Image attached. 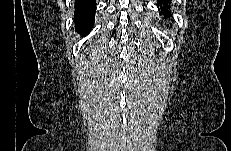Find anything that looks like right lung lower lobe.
Segmentation results:
<instances>
[{"mask_svg":"<svg viewBox=\"0 0 231 151\" xmlns=\"http://www.w3.org/2000/svg\"><path fill=\"white\" fill-rule=\"evenodd\" d=\"M95 0H76L74 23L75 30L81 36H85L91 31L95 17Z\"/></svg>","mask_w":231,"mask_h":151,"instance_id":"1","label":"right lung lower lobe"}]
</instances>
